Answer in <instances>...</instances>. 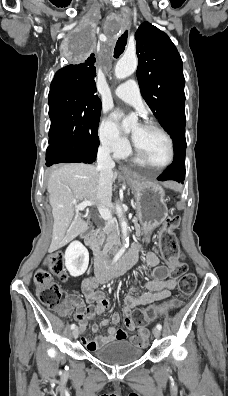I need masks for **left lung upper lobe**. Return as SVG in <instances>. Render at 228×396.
Instances as JSON below:
<instances>
[{"label": "left lung upper lobe", "mask_w": 228, "mask_h": 396, "mask_svg": "<svg viewBox=\"0 0 228 396\" xmlns=\"http://www.w3.org/2000/svg\"><path fill=\"white\" fill-rule=\"evenodd\" d=\"M135 39L141 94L164 130L171 134L186 123L181 57L168 35L149 22L140 25Z\"/></svg>", "instance_id": "obj_1"}]
</instances>
